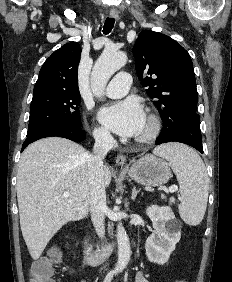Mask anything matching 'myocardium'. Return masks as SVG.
I'll list each match as a JSON object with an SVG mask.
<instances>
[{
    "label": "myocardium",
    "instance_id": "myocardium-1",
    "mask_svg": "<svg viewBox=\"0 0 232 282\" xmlns=\"http://www.w3.org/2000/svg\"><path fill=\"white\" fill-rule=\"evenodd\" d=\"M146 131L135 138V142L146 144L155 140L161 132L162 123L160 118L155 113H148L146 117Z\"/></svg>",
    "mask_w": 232,
    "mask_h": 282
}]
</instances>
